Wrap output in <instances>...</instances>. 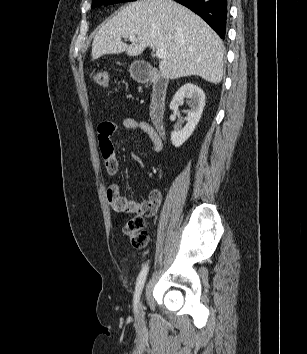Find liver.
I'll list each match as a JSON object with an SVG mask.
<instances>
[{
  "instance_id": "obj_1",
  "label": "liver",
  "mask_w": 307,
  "mask_h": 354,
  "mask_svg": "<svg viewBox=\"0 0 307 354\" xmlns=\"http://www.w3.org/2000/svg\"><path fill=\"white\" fill-rule=\"evenodd\" d=\"M133 36L127 45L122 38ZM165 48L159 69L167 79L197 75L211 83L223 77L220 37L198 15L172 0H138L123 7L96 33L92 60L107 54L138 56L147 48Z\"/></svg>"
}]
</instances>
